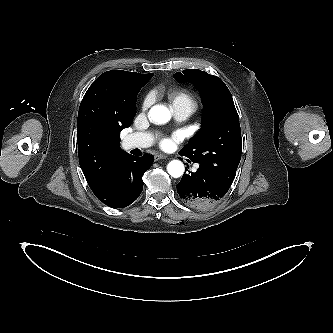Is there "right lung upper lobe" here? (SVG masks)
Here are the masks:
<instances>
[{"instance_id":"cb5924a9","label":"right lung upper lobe","mask_w":333,"mask_h":333,"mask_svg":"<svg viewBox=\"0 0 333 333\" xmlns=\"http://www.w3.org/2000/svg\"><path fill=\"white\" fill-rule=\"evenodd\" d=\"M153 73L110 70L94 81L78 112L77 143L81 169L93 193L110 184L115 169L127 154L120 148V132L136 114V96Z\"/></svg>"}]
</instances>
